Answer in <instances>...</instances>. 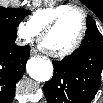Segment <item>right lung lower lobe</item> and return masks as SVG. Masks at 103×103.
<instances>
[{
	"label": "right lung lower lobe",
	"instance_id": "obj_1",
	"mask_svg": "<svg viewBox=\"0 0 103 103\" xmlns=\"http://www.w3.org/2000/svg\"><path fill=\"white\" fill-rule=\"evenodd\" d=\"M16 38L0 35V102H12L15 85L25 71L30 47L16 46Z\"/></svg>",
	"mask_w": 103,
	"mask_h": 103
}]
</instances>
